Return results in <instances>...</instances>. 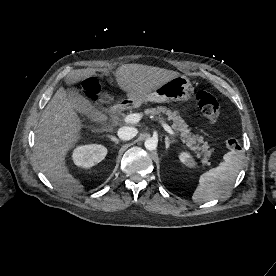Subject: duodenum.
<instances>
[{
	"label": "duodenum",
	"instance_id": "410a0bca",
	"mask_svg": "<svg viewBox=\"0 0 276 276\" xmlns=\"http://www.w3.org/2000/svg\"><path fill=\"white\" fill-rule=\"evenodd\" d=\"M123 109V105L121 103H114L108 109V120L107 122H111L116 119L120 111Z\"/></svg>",
	"mask_w": 276,
	"mask_h": 276
}]
</instances>
